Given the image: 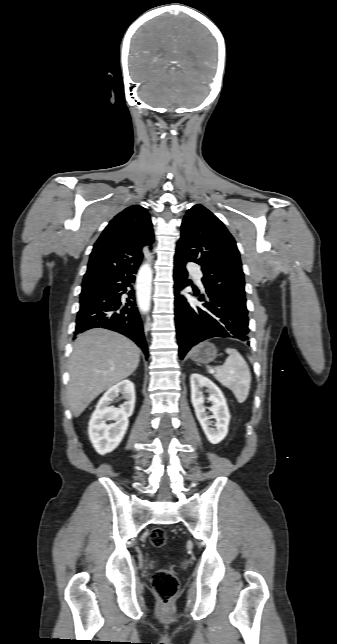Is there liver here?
Wrapping results in <instances>:
<instances>
[{"label":"liver","instance_id":"liver-1","mask_svg":"<svg viewBox=\"0 0 337 644\" xmlns=\"http://www.w3.org/2000/svg\"><path fill=\"white\" fill-rule=\"evenodd\" d=\"M140 349L128 338L105 329H91L73 344L67 397L79 417L103 391L130 376L138 367Z\"/></svg>","mask_w":337,"mask_h":644}]
</instances>
